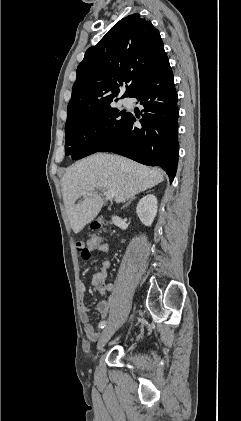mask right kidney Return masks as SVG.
Instances as JSON below:
<instances>
[{
	"instance_id": "right-kidney-1",
	"label": "right kidney",
	"mask_w": 241,
	"mask_h": 421,
	"mask_svg": "<svg viewBox=\"0 0 241 421\" xmlns=\"http://www.w3.org/2000/svg\"><path fill=\"white\" fill-rule=\"evenodd\" d=\"M157 198L153 194L144 196L136 207V213L141 222L146 226H151L157 214Z\"/></svg>"
}]
</instances>
